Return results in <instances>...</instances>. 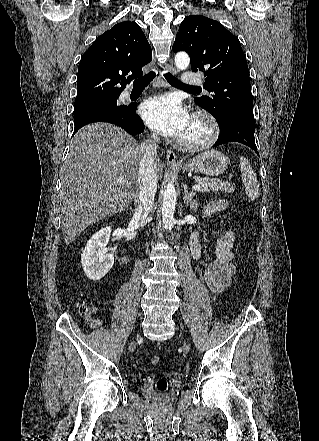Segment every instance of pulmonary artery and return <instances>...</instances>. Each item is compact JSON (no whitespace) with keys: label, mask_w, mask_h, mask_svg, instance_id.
I'll return each instance as SVG.
<instances>
[{"label":"pulmonary artery","mask_w":319,"mask_h":441,"mask_svg":"<svg viewBox=\"0 0 319 441\" xmlns=\"http://www.w3.org/2000/svg\"><path fill=\"white\" fill-rule=\"evenodd\" d=\"M182 83L188 86L202 85L203 79L199 74L186 72L182 77Z\"/></svg>","instance_id":"1"}]
</instances>
